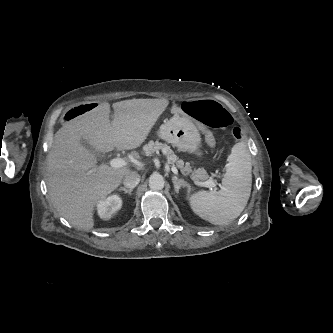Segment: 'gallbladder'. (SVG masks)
Listing matches in <instances>:
<instances>
[{"mask_svg":"<svg viewBox=\"0 0 333 333\" xmlns=\"http://www.w3.org/2000/svg\"><path fill=\"white\" fill-rule=\"evenodd\" d=\"M80 142L86 149L93 152L94 154H97V151L92 147V145L87 140L81 139Z\"/></svg>","mask_w":333,"mask_h":333,"instance_id":"obj_1","label":"gallbladder"}]
</instances>
